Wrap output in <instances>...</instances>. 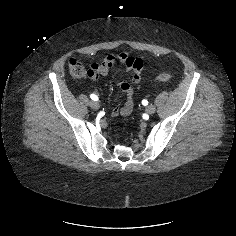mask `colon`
I'll return each instance as SVG.
<instances>
[{
    "label": "colon",
    "mask_w": 236,
    "mask_h": 236,
    "mask_svg": "<svg viewBox=\"0 0 236 236\" xmlns=\"http://www.w3.org/2000/svg\"><path fill=\"white\" fill-rule=\"evenodd\" d=\"M68 69L69 73L74 78H82L85 76H89V70L86 69L79 61L75 59H70L68 61ZM171 79V74L168 72H164L159 74L155 81L156 82H167Z\"/></svg>",
    "instance_id": "obj_1"
}]
</instances>
